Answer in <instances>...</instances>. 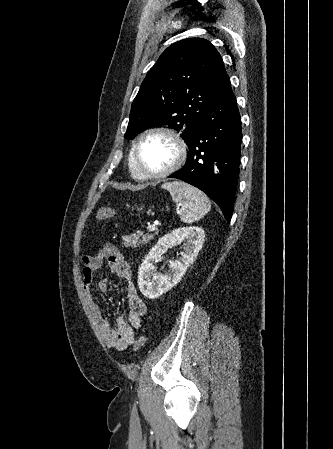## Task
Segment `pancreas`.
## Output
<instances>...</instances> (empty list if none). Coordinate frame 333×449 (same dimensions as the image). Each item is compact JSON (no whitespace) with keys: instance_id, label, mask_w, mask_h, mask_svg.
Masks as SVG:
<instances>
[{"instance_id":"pancreas-1","label":"pancreas","mask_w":333,"mask_h":449,"mask_svg":"<svg viewBox=\"0 0 333 449\" xmlns=\"http://www.w3.org/2000/svg\"><path fill=\"white\" fill-rule=\"evenodd\" d=\"M151 238H153L152 234L143 233L142 231H139L131 235L123 236L122 243L126 247H138L148 243L149 240H151Z\"/></svg>"}]
</instances>
